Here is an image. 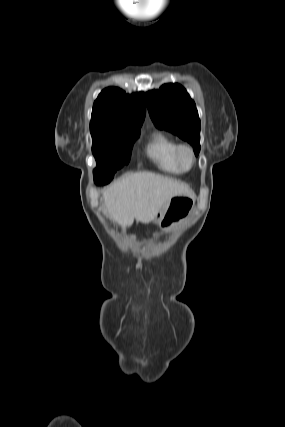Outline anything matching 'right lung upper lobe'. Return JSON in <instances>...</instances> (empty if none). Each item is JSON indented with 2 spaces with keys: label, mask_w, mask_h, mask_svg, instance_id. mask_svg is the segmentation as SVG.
<instances>
[{
  "label": "right lung upper lobe",
  "mask_w": 285,
  "mask_h": 427,
  "mask_svg": "<svg viewBox=\"0 0 285 427\" xmlns=\"http://www.w3.org/2000/svg\"><path fill=\"white\" fill-rule=\"evenodd\" d=\"M145 113L144 93L127 95L119 88L109 87L94 102L90 128L141 127Z\"/></svg>",
  "instance_id": "cb5924a9"
}]
</instances>
